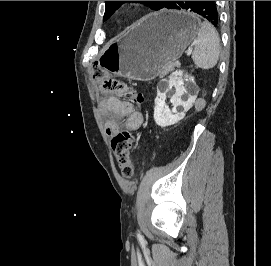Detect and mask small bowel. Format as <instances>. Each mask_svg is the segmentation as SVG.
Here are the masks:
<instances>
[{
    "label": "small bowel",
    "mask_w": 271,
    "mask_h": 266,
    "mask_svg": "<svg viewBox=\"0 0 271 266\" xmlns=\"http://www.w3.org/2000/svg\"><path fill=\"white\" fill-rule=\"evenodd\" d=\"M101 112L109 115L105 128L109 136L114 135L120 128L121 120L129 131H137L143 124V114L136 111L132 103L116 96L105 97L100 103Z\"/></svg>",
    "instance_id": "1"
}]
</instances>
